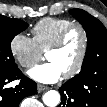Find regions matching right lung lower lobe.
Wrapping results in <instances>:
<instances>
[{"label": "right lung lower lobe", "mask_w": 107, "mask_h": 107, "mask_svg": "<svg viewBox=\"0 0 107 107\" xmlns=\"http://www.w3.org/2000/svg\"><path fill=\"white\" fill-rule=\"evenodd\" d=\"M16 79L20 80L19 85L15 88H4L7 83ZM36 90V83L25 77L18 68L0 74V107H18L24 97L35 94Z\"/></svg>", "instance_id": "right-lung-lower-lobe-1"}]
</instances>
